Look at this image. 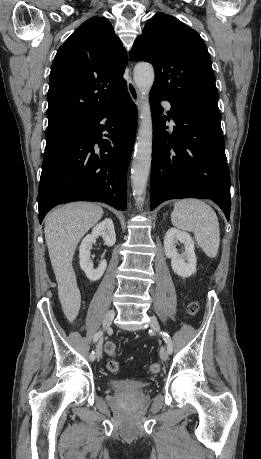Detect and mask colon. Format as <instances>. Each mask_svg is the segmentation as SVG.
<instances>
[{
	"label": "colon",
	"instance_id": "obj_1",
	"mask_svg": "<svg viewBox=\"0 0 261 459\" xmlns=\"http://www.w3.org/2000/svg\"><path fill=\"white\" fill-rule=\"evenodd\" d=\"M198 310H199V305L197 302H191L187 306V312L190 316H195L198 313ZM105 351L109 356H114L117 352L116 344L111 341L107 342L105 345ZM106 367L110 372L115 373L119 371L120 364L115 360H109L106 363ZM160 369L161 367L158 363H152L149 366V371L154 374L158 373Z\"/></svg>",
	"mask_w": 261,
	"mask_h": 459
}]
</instances>
